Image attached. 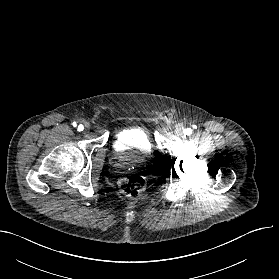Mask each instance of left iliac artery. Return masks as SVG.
Segmentation results:
<instances>
[{
    "mask_svg": "<svg viewBox=\"0 0 279 279\" xmlns=\"http://www.w3.org/2000/svg\"><path fill=\"white\" fill-rule=\"evenodd\" d=\"M191 133H192V129L187 128V129L185 130V134H186V135H190Z\"/></svg>",
    "mask_w": 279,
    "mask_h": 279,
    "instance_id": "left-iliac-artery-1",
    "label": "left iliac artery"
}]
</instances>
